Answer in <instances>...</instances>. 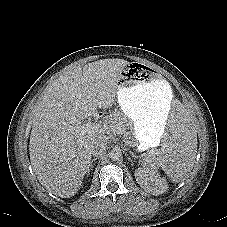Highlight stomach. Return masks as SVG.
Returning a JSON list of instances; mask_svg holds the SVG:
<instances>
[{
  "instance_id": "1",
  "label": "stomach",
  "mask_w": 227,
  "mask_h": 227,
  "mask_svg": "<svg viewBox=\"0 0 227 227\" xmlns=\"http://www.w3.org/2000/svg\"><path fill=\"white\" fill-rule=\"evenodd\" d=\"M172 97L170 84L153 67L135 62L121 67L118 105L133 123L134 139L141 150L156 146L163 138Z\"/></svg>"
}]
</instances>
